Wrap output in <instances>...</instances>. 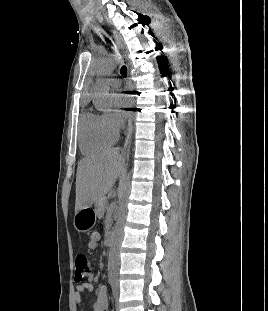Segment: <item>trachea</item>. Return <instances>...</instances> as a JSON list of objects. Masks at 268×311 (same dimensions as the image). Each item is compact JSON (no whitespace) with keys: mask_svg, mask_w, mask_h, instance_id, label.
Masks as SVG:
<instances>
[{"mask_svg":"<svg viewBox=\"0 0 268 311\" xmlns=\"http://www.w3.org/2000/svg\"><path fill=\"white\" fill-rule=\"evenodd\" d=\"M110 42V41H109ZM120 73L123 77H126L127 76V69H126V66H122L121 69H120Z\"/></svg>","mask_w":268,"mask_h":311,"instance_id":"obj_1","label":"trachea"}]
</instances>
